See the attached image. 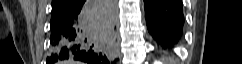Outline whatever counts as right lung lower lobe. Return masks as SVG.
<instances>
[{
    "label": "right lung lower lobe",
    "mask_w": 242,
    "mask_h": 64,
    "mask_svg": "<svg viewBox=\"0 0 242 64\" xmlns=\"http://www.w3.org/2000/svg\"><path fill=\"white\" fill-rule=\"evenodd\" d=\"M51 54L46 64L74 59L115 64L116 0H76L66 12L52 14Z\"/></svg>",
    "instance_id": "right-lung-lower-lobe-1"
}]
</instances>
